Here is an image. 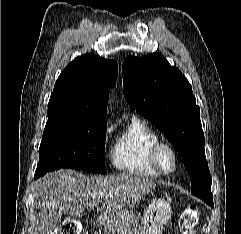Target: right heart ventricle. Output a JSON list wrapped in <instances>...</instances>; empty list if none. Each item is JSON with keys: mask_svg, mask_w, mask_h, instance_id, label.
<instances>
[{"mask_svg": "<svg viewBox=\"0 0 241 234\" xmlns=\"http://www.w3.org/2000/svg\"><path fill=\"white\" fill-rule=\"evenodd\" d=\"M157 141V134L144 121L133 119L112 146L113 167L129 175L160 176L150 160V150Z\"/></svg>", "mask_w": 241, "mask_h": 234, "instance_id": "obj_1", "label": "right heart ventricle"}]
</instances>
